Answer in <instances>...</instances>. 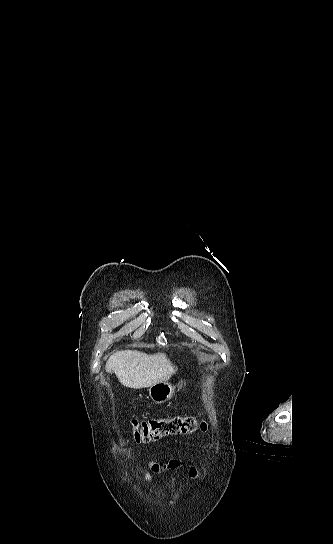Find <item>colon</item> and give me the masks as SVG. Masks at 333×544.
Returning a JSON list of instances; mask_svg holds the SVG:
<instances>
[{"label": "colon", "mask_w": 333, "mask_h": 544, "mask_svg": "<svg viewBox=\"0 0 333 544\" xmlns=\"http://www.w3.org/2000/svg\"><path fill=\"white\" fill-rule=\"evenodd\" d=\"M206 429V423L194 417L158 418L132 423L133 436L137 443H150L167 436L187 435Z\"/></svg>", "instance_id": "obj_1"}]
</instances>
